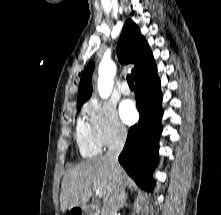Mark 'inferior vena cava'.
Masks as SVG:
<instances>
[{"instance_id": "1", "label": "inferior vena cava", "mask_w": 221, "mask_h": 215, "mask_svg": "<svg viewBox=\"0 0 221 215\" xmlns=\"http://www.w3.org/2000/svg\"><path fill=\"white\" fill-rule=\"evenodd\" d=\"M126 137V131L121 130L106 153V158L110 163L115 185L111 197L104 203L102 215H117V212L122 207V203L125 199V185L118 157L124 147Z\"/></svg>"}]
</instances>
